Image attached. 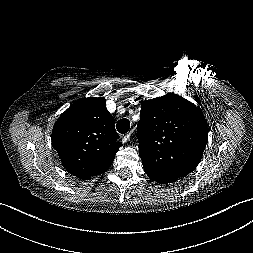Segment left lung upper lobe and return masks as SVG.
I'll return each instance as SVG.
<instances>
[{
  "label": "left lung upper lobe",
  "instance_id": "obj_1",
  "mask_svg": "<svg viewBox=\"0 0 253 253\" xmlns=\"http://www.w3.org/2000/svg\"><path fill=\"white\" fill-rule=\"evenodd\" d=\"M137 125L143 166L185 177L198 165L208 139L202 110L174 93L141 102Z\"/></svg>",
  "mask_w": 253,
  "mask_h": 253
}]
</instances>
